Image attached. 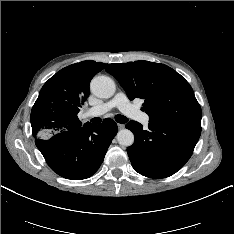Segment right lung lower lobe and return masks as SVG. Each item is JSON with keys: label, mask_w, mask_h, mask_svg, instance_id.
Returning a JSON list of instances; mask_svg holds the SVG:
<instances>
[{"label": "right lung lower lobe", "mask_w": 234, "mask_h": 234, "mask_svg": "<svg viewBox=\"0 0 234 234\" xmlns=\"http://www.w3.org/2000/svg\"><path fill=\"white\" fill-rule=\"evenodd\" d=\"M116 134V123L105 119L100 125L87 123L37 138L35 144L54 172L67 179L81 180L98 170Z\"/></svg>", "instance_id": "right-lung-lower-lobe-1"}]
</instances>
